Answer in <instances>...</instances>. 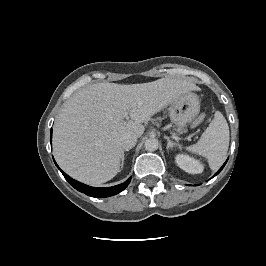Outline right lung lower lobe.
Returning <instances> with one entry per match:
<instances>
[{
	"label": "right lung lower lobe",
	"mask_w": 266,
	"mask_h": 266,
	"mask_svg": "<svg viewBox=\"0 0 266 266\" xmlns=\"http://www.w3.org/2000/svg\"><path fill=\"white\" fill-rule=\"evenodd\" d=\"M52 140V130H51V136H50V141ZM55 162V160H54ZM56 166L59 168L57 163L55 162ZM60 169V168H59ZM65 177V179L78 191L85 193L88 196L91 197H97V198H104V197H110L113 195H116L123 191L128 184L130 183L131 178L127 179L124 183L112 186V187H105V188H97V187H91L88 185H85L81 182H78L71 177H69L65 172L60 170Z\"/></svg>",
	"instance_id": "98d812e1"
}]
</instances>
